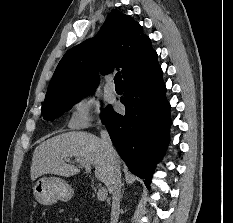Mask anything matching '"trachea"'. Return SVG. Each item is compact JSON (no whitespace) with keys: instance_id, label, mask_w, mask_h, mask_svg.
<instances>
[{"instance_id":"1","label":"trachea","mask_w":233,"mask_h":223,"mask_svg":"<svg viewBox=\"0 0 233 223\" xmlns=\"http://www.w3.org/2000/svg\"><path fill=\"white\" fill-rule=\"evenodd\" d=\"M115 83H122L121 73L117 72L114 78Z\"/></svg>"}]
</instances>
